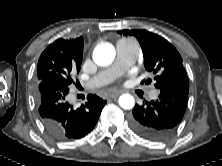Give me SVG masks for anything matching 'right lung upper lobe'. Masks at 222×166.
Masks as SVG:
<instances>
[{
  "instance_id": "cb5924a9",
  "label": "right lung upper lobe",
  "mask_w": 222,
  "mask_h": 166,
  "mask_svg": "<svg viewBox=\"0 0 222 166\" xmlns=\"http://www.w3.org/2000/svg\"><path fill=\"white\" fill-rule=\"evenodd\" d=\"M82 38V37H80ZM83 39V38H82ZM76 48V39H58L53 44H50L43 52H71Z\"/></svg>"
}]
</instances>
